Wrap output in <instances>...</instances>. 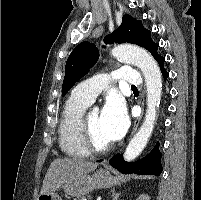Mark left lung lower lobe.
I'll list each match as a JSON object with an SVG mask.
<instances>
[{"label":"left lung lower lobe","instance_id":"1","mask_svg":"<svg viewBox=\"0 0 201 200\" xmlns=\"http://www.w3.org/2000/svg\"><path fill=\"white\" fill-rule=\"evenodd\" d=\"M155 60L160 66V70L164 80L168 77V72L164 68L165 58L158 55ZM99 160L98 162H101ZM110 165L123 174H138V175H156L159 176L163 170L161 164V153L159 151V142L153 150L143 159L136 162H125L123 155H116L110 161Z\"/></svg>","mask_w":201,"mask_h":200}]
</instances>
